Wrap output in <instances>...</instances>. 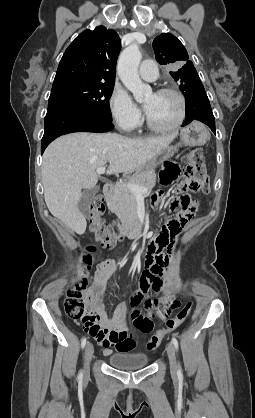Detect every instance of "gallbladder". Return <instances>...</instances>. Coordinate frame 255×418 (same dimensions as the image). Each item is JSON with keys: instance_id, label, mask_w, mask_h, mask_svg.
I'll use <instances>...</instances> for the list:
<instances>
[{"instance_id": "obj_1", "label": "gallbladder", "mask_w": 255, "mask_h": 418, "mask_svg": "<svg viewBox=\"0 0 255 418\" xmlns=\"http://www.w3.org/2000/svg\"><path fill=\"white\" fill-rule=\"evenodd\" d=\"M99 192V187L95 186L91 189L84 190L82 192L81 198L78 202L79 211L82 213L83 216L89 215V205L92 202L95 195Z\"/></svg>"}]
</instances>
